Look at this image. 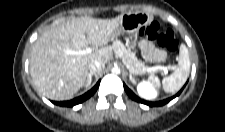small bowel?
I'll return each instance as SVG.
<instances>
[{
  "label": "small bowel",
  "mask_w": 225,
  "mask_h": 132,
  "mask_svg": "<svg viewBox=\"0 0 225 132\" xmlns=\"http://www.w3.org/2000/svg\"><path fill=\"white\" fill-rule=\"evenodd\" d=\"M139 50L145 61L150 64H158L165 59L164 53L148 41H141L139 43Z\"/></svg>",
  "instance_id": "1"
}]
</instances>
